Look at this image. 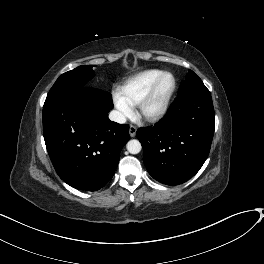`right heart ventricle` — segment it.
Instances as JSON below:
<instances>
[{"mask_svg":"<svg viewBox=\"0 0 264 264\" xmlns=\"http://www.w3.org/2000/svg\"><path fill=\"white\" fill-rule=\"evenodd\" d=\"M161 73L158 69H147L134 74L120 87L121 96L136 105Z\"/></svg>","mask_w":264,"mask_h":264,"instance_id":"right-heart-ventricle-1","label":"right heart ventricle"}]
</instances>
